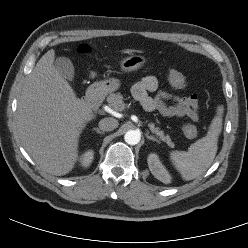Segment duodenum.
<instances>
[{
	"instance_id": "1",
	"label": "duodenum",
	"mask_w": 248,
	"mask_h": 248,
	"mask_svg": "<svg viewBox=\"0 0 248 248\" xmlns=\"http://www.w3.org/2000/svg\"><path fill=\"white\" fill-rule=\"evenodd\" d=\"M102 102L100 92L92 91L87 95L86 105L90 110L97 108Z\"/></svg>"
}]
</instances>
